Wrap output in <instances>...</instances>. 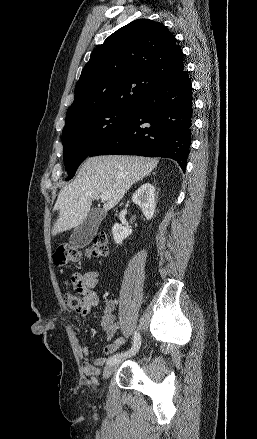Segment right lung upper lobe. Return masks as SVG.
Segmentation results:
<instances>
[{"label":"right lung upper lobe","mask_w":257,"mask_h":439,"mask_svg":"<svg viewBox=\"0 0 257 439\" xmlns=\"http://www.w3.org/2000/svg\"><path fill=\"white\" fill-rule=\"evenodd\" d=\"M183 69L182 50L162 23L132 21L93 50L76 84L66 120L101 108L136 109Z\"/></svg>","instance_id":"obj_1"}]
</instances>
